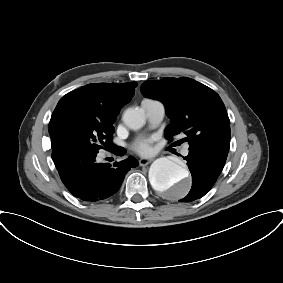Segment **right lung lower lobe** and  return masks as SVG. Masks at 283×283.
Segmentation results:
<instances>
[{
  "label": "right lung lower lobe",
  "instance_id": "right-lung-lower-lobe-1",
  "mask_svg": "<svg viewBox=\"0 0 283 283\" xmlns=\"http://www.w3.org/2000/svg\"><path fill=\"white\" fill-rule=\"evenodd\" d=\"M118 147L112 150L116 153ZM98 152L85 150L74 157L56 164L60 178L67 189L77 198L84 201H100L115 194L125 174L138 166V162L129 157L114 165L98 163Z\"/></svg>",
  "mask_w": 283,
  "mask_h": 283
}]
</instances>
